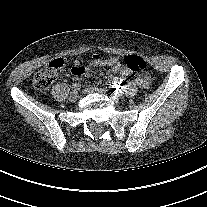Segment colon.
<instances>
[{
  "mask_svg": "<svg viewBox=\"0 0 207 207\" xmlns=\"http://www.w3.org/2000/svg\"><path fill=\"white\" fill-rule=\"evenodd\" d=\"M104 59V57H101ZM126 66L133 72H141L147 68L146 61L137 55H129L125 58ZM66 66V60L57 58L51 61L48 66L39 70L33 77V85L38 90L47 89L55 80L57 70Z\"/></svg>",
  "mask_w": 207,
  "mask_h": 207,
  "instance_id": "1",
  "label": "colon"
}]
</instances>
